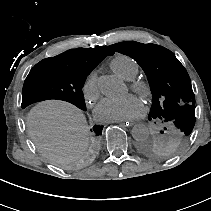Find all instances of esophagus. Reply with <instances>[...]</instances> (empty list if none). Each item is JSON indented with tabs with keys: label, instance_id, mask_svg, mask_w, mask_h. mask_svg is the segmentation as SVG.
<instances>
[{
	"label": "esophagus",
	"instance_id": "1",
	"mask_svg": "<svg viewBox=\"0 0 211 211\" xmlns=\"http://www.w3.org/2000/svg\"><path fill=\"white\" fill-rule=\"evenodd\" d=\"M119 122H121V121H112V122H109V123H119Z\"/></svg>",
	"mask_w": 211,
	"mask_h": 211
}]
</instances>
